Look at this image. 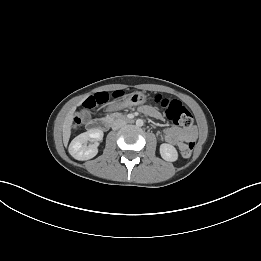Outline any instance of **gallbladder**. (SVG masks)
<instances>
[{
    "label": "gallbladder",
    "mask_w": 261,
    "mask_h": 261,
    "mask_svg": "<svg viewBox=\"0 0 261 261\" xmlns=\"http://www.w3.org/2000/svg\"><path fill=\"white\" fill-rule=\"evenodd\" d=\"M80 116L84 122L88 121L90 118V115L86 110L81 111Z\"/></svg>",
    "instance_id": "gallbladder-1"
}]
</instances>
